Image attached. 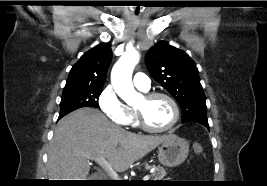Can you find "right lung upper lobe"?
<instances>
[{
	"label": "right lung upper lobe",
	"instance_id": "1",
	"mask_svg": "<svg viewBox=\"0 0 267 186\" xmlns=\"http://www.w3.org/2000/svg\"><path fill=\"white\" fill-rule=\"evenodd\" d=\"M111 58L110 44H99L84 53L72 67L65 88H103Z\"/></svg>",
	"mask_w": 267,
	"mask_h": 186
}]
</instances>
